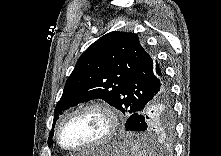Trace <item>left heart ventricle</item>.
I'll return each mask as SVG.
<instances>
[{
	"label": "left heart ventricle",
	"mask_w": 221,
	"mask_h": 156,
	"mask_svg": "<svg viewBox=\"0 0 221 156\" xmlns=\"http://www.w3.org/2000/svg\"><path fill=\"white\" fill-rule=\"evenodd\" d=\"M107 128V120L98 111H84L70 118L63 127L61 139L67 147H82L99 139Z\"/></svg>",
	"instance_id": "obj_1"
}]
</instances>
